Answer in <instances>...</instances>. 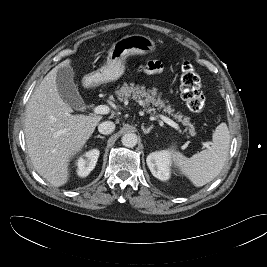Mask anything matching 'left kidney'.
Listing matches in <instances>:
<instances>
[{
    "label": "left kidney",
    "instance_id": "left-kidney-1",
    "mask_svg": "<svg viewBox=\"0 0 267 267\" xmlns=\"http://www.w3.org/2000/svg\"><path fill=\"white\" fill-rule=\"evenodd\" d=\"M147 165L154 177L161 181L170 178L171 153L169 151H156L147 156Z\"/></svg>",
    "mask_w": 267,
    "mask_h": 267
}]
</instances>
